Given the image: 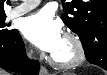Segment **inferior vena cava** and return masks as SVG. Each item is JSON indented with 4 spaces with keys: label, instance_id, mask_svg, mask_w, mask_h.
I'll use <instances>...</instances> for the list:
<instances>
[{
    "label": "inferior vena cava",
    "instance_id": "1",
    "mask_svg": "<svg viewBox=\"0 0 107 75\" xmlns=\"http://www.w3.org/2000/svg\"><path fill=\"white\" fill-rule=\"evenodd\" d=\"M31 55H32V50L27 52V56H28L29 58H31Z\"/></svg>",
    "mask_w": 107,
    "mask_h": 75
}]
</instances>
